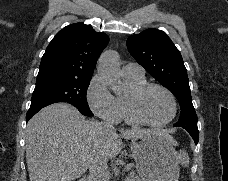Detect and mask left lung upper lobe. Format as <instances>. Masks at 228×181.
<instances>
[{
	"mask_svg": "<svg viewBox=\"0 0 228 181\" xmlns=\"http://www.w3.org/2000/svg\"><path fill=\"white\" fill-rule=\"evenodd\" d=\"M127 48L138 64L178 99L181 112L174 126L198 129L187 70L179 50L167 34L153 28L144 30L127 39Z\"/></svg>",
	"mask_w": 228,
	"mask_h": 181,
	"instance_id": "left-lung-upper-lobe-1",
	"label": "left lung upper lobe"
}]
</instances>
